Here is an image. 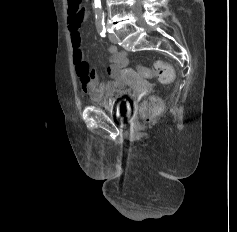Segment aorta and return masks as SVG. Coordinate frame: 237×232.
Listing matches in <instances>:
<instances>
[{
	"label": "aorta",
	"mask_w": 237,
	"mask_h": 232,
	"mask_svg": "<svg viewBox=\"0 0 237 232\" xmlns=\"http://www.w3.org/2000/svg\"><path fill=\"white\" fill-rule=\"evenodd\" d=\"M94 9L96 22H103L105 15L102 10L101 0H94Z\"/></svg>",
	"instance_id": "762f6f07"
}]
</instances>
